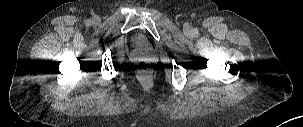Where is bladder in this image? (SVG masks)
<instances>
[{
    "mask_svg": "<svg viewBox=\"0 0 303 127\" xmlns=\"http://www.w3.org/2000/svg\"><path fill=\"white\" fill-rule=\"evenodd\" d=\"M133 41L135 45H139L142 42V38L140 35H135Z\"/></svg>",
    "mask_w": 303,
    "mask_h": 127,
    "instance_id": "bladder-1",
    "label": "bladder"
}]
</instances>
